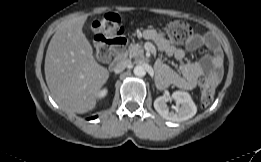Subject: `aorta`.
<instances>
[{"label": "aorta", "mask_w": 261, "mask_h": 162, "mask_svg": "<svg viewBox=\"0 0 261 162\" xmlns=\"http://www.w3.org/2000/svg\"><path fill=\"white\" fill-rule=\"evenodd\" d=\"M133 72H134V74H135L136 76H139V77H142V76L145 75V69H144V67L141 66V65L135 66Z\"/></svg>", "instance_id": "aorta-1"}]
</instances>
